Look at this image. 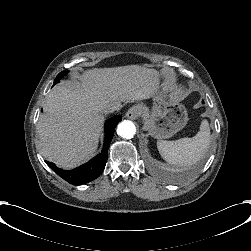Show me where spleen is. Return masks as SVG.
Here are the masks:
<instances>
[{
  "mask_svg": "<svg viewBox=\"0 0 251 251\" xmlns=\"http://www.w3.org/2000/svg\"><path fill=\"white\" fill-rule=\"evenodd\" d=\"M211 143V128L207 119H202L199 132L192 138L177 141H157L161 157L173 166H193L206 154Z\"/></svg>",
  "mask_w": 251,
  "mask_h": 251,
  "instance_id": "spleen-1",
  "label": "spleen"
}]
</instances>
